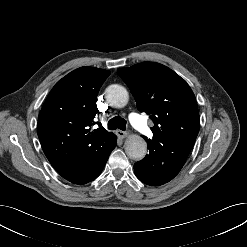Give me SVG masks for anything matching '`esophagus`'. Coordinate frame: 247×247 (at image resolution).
<instances>
[{
  "label": "esophagus",
  "mask_w": 247,
  "mask_h": 247,
  "mask_svg": "<svg viewBox=\"0 0 247 247\" xmlns=\"http://www.w3.org/2000/svg\"><path fill=\"white\" fill-rule=\"evenodd\" d=\"M116 134L119 138H125L128 136V132L126 131H122V130H117L116 131Z\"/></svg>",
  "instance_id": "obj_1"
}]
</instances>
